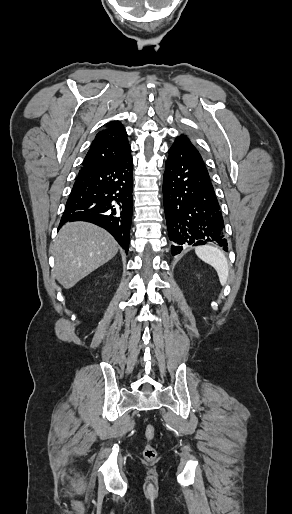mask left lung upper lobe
Returning a JSON list of instances; mask_svg holds the SVG:
<instances>
[{
	"mask_svg": "<svg viewBox=\"0 0 292 514\" xmlns=\"http://www.w3.org/2000/svg\"><path fill=\"white\" fill-rule=\"evenodd\" d=\"M176 141H186V142L192 143V142L190 141V139H189L186 135H184V134H182V135L178 136V137L176 138L175 142H176Z\"/></svg>",
	"mask_w": 292,
	"mask_h": 514,
	"instance_id": "1",
	"label": "left lung upper lobe"
}]
</instances>
